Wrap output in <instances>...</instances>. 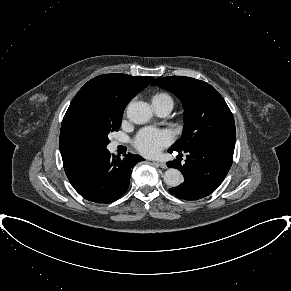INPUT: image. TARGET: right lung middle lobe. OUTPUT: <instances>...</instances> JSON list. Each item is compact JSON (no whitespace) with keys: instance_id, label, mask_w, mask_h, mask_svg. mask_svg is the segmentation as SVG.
Masks as SVG:
<instances>
[{"instance_id":"right-lung-middle-lobe-1","label":"right lung middle lobe","mask_w":291,"mask_h":291,"mask_svg":"<svg viewBox=\"0 0 291 291\" xmlns=\"http://www.w3.org/2000/svg\"><path fill=\"white\" fill-rule=\"evenodd\" d=\"M122 112H86L76 117L64 135V142L75 153L94 159L107 151L109 133L118 131Z\"/></svg>"}]
</instances>
